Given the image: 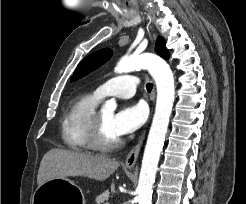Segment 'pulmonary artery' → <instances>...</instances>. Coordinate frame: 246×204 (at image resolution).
I'll list each match as a JSON object with an SVG mask.
<instances>
[{"mask_svg":"<svg viewBox=\"0 0 246 204\" xmlns=\"http://www.w3.org/2000/svg\"><path fill=\"white\" fill-rule=\"evenodd\" d=\"M139 79L136 75L125 74L113 77L101 84L94 95L98 98L115 96L118 98H131L137 89Z\"/></svg>","mask_w":246,"mask_h":204,"instance_id":"obj_1","label":"pulmonary artery"}]
</instances>
